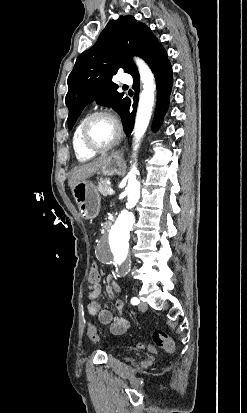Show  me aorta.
Masks as SVG:
<instances>
[{
    "label": "aorta",
    "mask_w": 247,
    "mask_h": 413,
    "mask_svg": "<svg viewBox=\"0 0 247 413\" xmlns=\"http://www.w3.org/2000/svg\"><path fill=\"white\" fill-rule=\"evenodd\" d=\"M136 65L140 73V80L143 89L140 93L139 104L134 127V151L138 150L139 142L147 130L154 104V91L156 88L154 75L148 65L140 58H135ZM136 154L134 153V157ZM138 170L136 164L131 166L127 175L128 184L126 187L127 203L129 208L135 207L140 198V181L137 179ZM135 222L134 214L129 210H123L119 214L115 224L111 228L110 242L114 254L115 262L121 264L125 261L129 248V231Z\"/></svg>",
    "instance_id": "aorta-1"
}]
</instances>
